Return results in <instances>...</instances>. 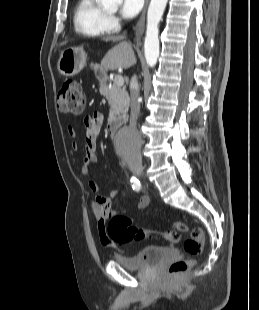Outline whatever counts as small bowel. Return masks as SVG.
<instances>
[{
	"label": "small bowel",
	"instance_id": "c3829d8e",
	"mask_svg": "<svg viewBox=\"0 0 259 310\" xmlns=\"http://www.w3.org/2000/svg\"><path fill=\"white\" fill-rule=\"evenodd\" d=\"M85 126L84 133V157L80 168V173L83 177L88 178V187L94 194V199L90 205L91 213L95 218L96 228L100 238V242L104 247L116 249L117 244L110 238L106 221L116 213L111 208V199L99 194V186L95 180L91 178V165L97 161L96 142L102 127L103 115L100 112H94L88 115L83 120ZM68 136L75 139L77 134L73 127L67 128ZM72 150L78 151L79 145L76 141L72 142ZM149 204V198L143 196L140 198L137 207L143 209Z\"/></svg>",
	"mask_w": 259,
	"mask_h": 310
}]
</instances>
